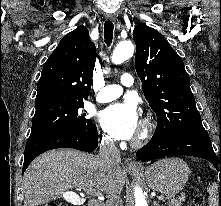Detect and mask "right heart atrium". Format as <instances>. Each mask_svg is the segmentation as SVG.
Here are the masks:
<instances>
[{
	"mask_svg": "<svg viewBox=\"0 0 221 206\" xmlns=\"http://www.w3.org/2000/svg\"><path fill=\"white\" fill-rule=\"evenodd\" d=\"M101 140L103 143L105 144H111L113 142V139L111 136H109L108 134L103 133L101 135Z\"/></svg>",
	"mask_w": 221,
	"mask_h": 206,
	"instance_id": "obj_1",
	"label": "right heart atrium"
}]
</instances>
